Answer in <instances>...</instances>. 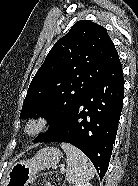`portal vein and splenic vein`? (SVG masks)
<instances>
[{
	"label": "portal vein and splenic vein",
	"mask_w": 138,
	"mask_h": 186,
	"mask_svg": "<svg viewBox=\"0 0 138 186\" xmlns=\"http://www.w3.org/2000/svg\"><path fill=\"white\" fill-rule=\"evenodd\" d=\"M60 171H61V173H64L66 170H65V168H61Z\"/></svg>",
	"instance_id": "1"
}]
</instances>
